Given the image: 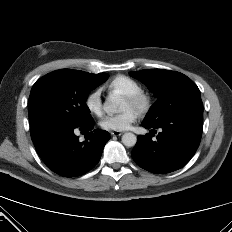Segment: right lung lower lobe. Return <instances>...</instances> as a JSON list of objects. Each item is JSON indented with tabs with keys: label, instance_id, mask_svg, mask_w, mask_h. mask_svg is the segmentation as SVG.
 Returning a JSON list of instances; mask_svg holds the SVG:
<instances>
[{
	"label": "right lung lower lobe",
	"instance_id": "right-lung-lower-lobe-1",
	"mask_svg": "<svg viewBox=\"0 0 232 232\" xmlns=\"http://www.w3.org/2000/svg\"><path fill=\"white\" fill-rule=\"evenodd\" d=\"M94 121L81 127L66 125L31 126V137L44 163L64 177H77L91 170L100 160L110 135L104 130H93L84 142L74 134L92 129Z\"/></svg>",
	"mask_w": 232,
	"mask_h": 232
}]
</instances>
